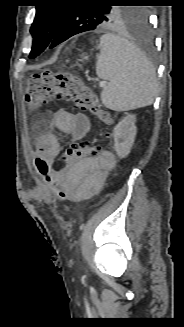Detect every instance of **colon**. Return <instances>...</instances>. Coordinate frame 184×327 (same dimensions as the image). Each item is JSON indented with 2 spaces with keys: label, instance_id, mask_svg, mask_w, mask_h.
I'll return each mask as SVG.
<instances>
[{
  "label": "colon",
  "instance_id": "1",
  "mask_svg": "<svg viewBox=\"0 0 184 327\" xmlns=\"http://www.w3.org/2000/svg\"><path fill=\"white\" fill-rule=\"evenodd\" d=\"M54 98L74 103L76 108L90 112L105 124L111 122L110 114L79 76L70 72L46 70L29 79L25 90V102L29 108H39ZM69 150L77 151L83 156H92L98 153L100 147L90 142H82L72 145ZM59 166L56 162L50 163L44 159L38 161V170L54 189L56 198L62 202L76 201L58 181L56 170Z\"/></svg>",
  "mask_w": 184,
  "mask_h": 327
}]
</instances>
